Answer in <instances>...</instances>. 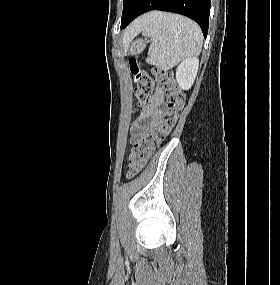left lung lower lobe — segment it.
<instances>
[{"mask_svg":"<svg viewBox=\"0 0 280 285\" xmlns=\"http://www.w3.org/2000/svg\"><path fill=\"white\" fill-rule=\"evenodd\" d=\"M162 10L185 15L196 21L207 36L210 14V0H137L129 16L121 24L125 28L139 15L151 11Z\"/></svg>","mask_w":280,"mask_h":285,"instance_id":"1","label":"left lung lower lobe"}]
</instances>
